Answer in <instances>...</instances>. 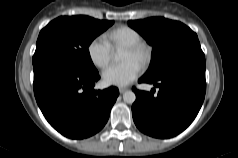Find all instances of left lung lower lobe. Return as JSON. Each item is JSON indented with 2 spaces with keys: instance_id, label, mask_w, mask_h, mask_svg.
<instances>
[{
  "instance_id": "1",
  "label": "left lung lower lobe",
  "mask_w": 238,
  "mask_h": 158,
  "mask_svg": "<svg viewBox=\"0 0 238 158\" xmlns=\"http://www.w3.org/2000/svg\"><path fill=\"white\" fill-rule=\"evenodd\" d=\"M205 58L177 63L153 79L141 77L138 82L159 88L157 96L137 90L132 105L137 128L152 137L170 138L184 131L195 119L206 92Z\"/></svg>"
}]
</instances>
